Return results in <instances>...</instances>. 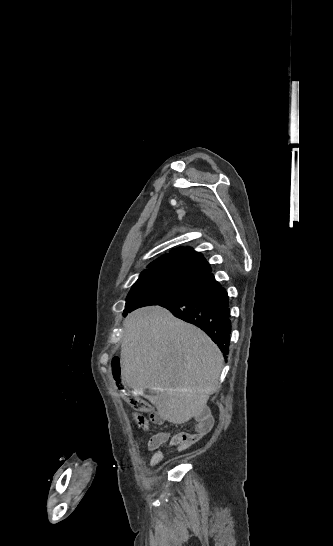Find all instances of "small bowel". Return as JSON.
<instances>
[{"label": "small bowel", "mask_w": 333, "mask_h": 546, "mask_svg": "<svg viewBox=\"0 0 333 546\" xmlns=\"http://www.w3.org/2000/svg\"><path fill=\"white\" fill-rule=\"evenodd\" d=\"M152 420L154 423L160 424L164 422L165 418L159 413H154ZM211 424L212 418L203 416L197 419L194 432L191 434L180 433L171 436L169 432H160L152 436L146 444L147 450L153 452L149 460V466L154 467L163 459L164 451L160 450L163 445L167 444L168 447H177L180 451L185 450L190 445L198 442L210 430Z\"/></svg>", "instance_id": "1"}]
</instances>
